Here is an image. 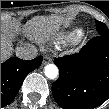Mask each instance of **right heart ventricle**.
I'll list each match as a JSON object with an SVG mask.
<instances>
[{"label":"right heart ventricle","instance_id":"right-heart-ventricle-1","mask_svg":"<svg viewBox=\"0 0 109 109\" xmlns=\"http://www.w3.org/2000/svg\"><path fill=\"white\" fill-rule=\"evenodd\" d=\"M83 31L81 29H77L70 34V37L75 38L82 35Z\"/></svg>","mask_w":109,"mask_h":109}]
</instances>
